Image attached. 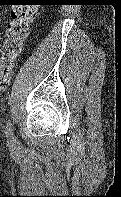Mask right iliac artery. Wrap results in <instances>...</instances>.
I'll list each match as a JSON object with an SVG mask.
<instances>
[{"mask_svg": "<svg viewBox=\"0 0 121 197\" xmlns=\"http://www.w3.org/2000/svg\"><path fill=\"white\" fill-rule=\"evenodd\" d=\"M5 133H6V137H7V140H8V145L12 147L14 145V141L15 140H14V134L12 132V128H11V123L10 122L7 123Z\"/></svg>", "mask_w": 121, "mask_h": 197, "instance_id": "obj_1", "label": "right iliac artery"}]
</instances>
